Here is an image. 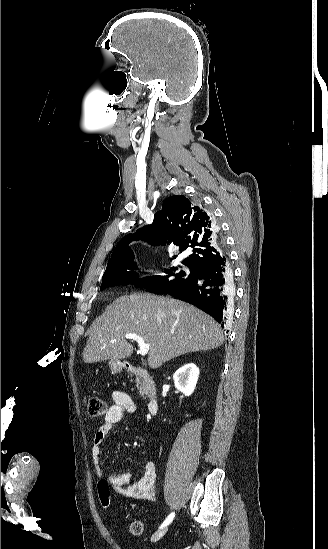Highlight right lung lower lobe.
<instances>
[{
    "label": "right lung lower lobe",
    "mask_w": 328,
    "mask_h": 549,
    "mask_svg": "<svg viewBox=\"0 0 328 549\" xmlns=\"http://www.w3.org/2000/svg\"><path fill=\"white\" fill-rule=\"evenodd\" d=\"M233 276L226 256L194 269V275L186 283L161 294H170L211 315L224 327L227 318V293L232 291Z\"/></svg>",
    "instance_id": "1"
}]
</instances>
